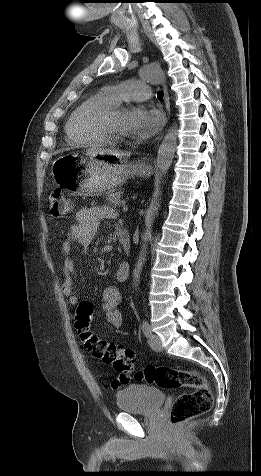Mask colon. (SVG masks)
Instances as JSON below:
<instances>
[{
    "instance_id": "1",
    "label": "colon",
    "mask_w": 261,
    "mask_h": 476,
    "mask_svg": "<svg viewBox=\"0 0 261 476\" xmlns=\"http://www.w3.org/2000/svg\"><path fill=\"white\" fill-rule=\"evenodd\" d=\"M48 203L53 218H63L73 209L71 201L58 188L51 191ZM92 315V305L82 302L75 313V327L84 347L93 356L112 365L119 372V377L112 382L113 388H119L130 382L136 364L135 352L107 342L94 333L91 330ZM137 378L163 389L191 388L190 391L180 394L170 408V420L173 425L182 424L212 407V391L206 377L198 371L150 365L138 372Z\"/></svg>"
}]
</instances>
